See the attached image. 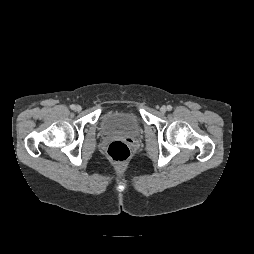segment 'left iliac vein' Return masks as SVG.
Here are the masks:
<instances>
[{"instance_id":"4c4485c4","label":"left iliac vein","mask_w":254,"mask_h":254,"mask_svg":"<svg viewBox=\"0 0 254 254\" xmlns=\"http://www.w3.org/2000/svg\"><path fill=\"white\" fill-rule=\"evenodd\" d=\"M160 111H161L162 113H165V112H166V107H165V106H162V107L160 108Z\"/></svg>"}]
</instances>
